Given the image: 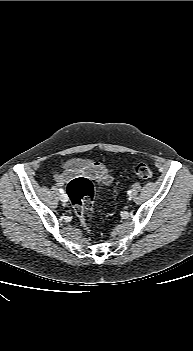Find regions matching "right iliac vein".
Here are the masks:
<instances>
[{
	"label": "right iliac vein",
	"instance_id": "obj_1",
	"mask_svg": "<svg viewBox=\"0 0 193 351\" xmlns=\"http://www.w3.org/2000/svg\"><path fill=\"white\" fill-rule=\"evenodd\" d=\"M60 200L62 201V202H67L68 201V196H67V194H62L61 196H60Z\"/></svg>",
	"mask_w": 193,
	"mask_h": 351
}]
</instances>
